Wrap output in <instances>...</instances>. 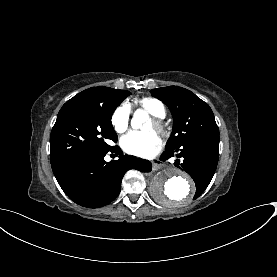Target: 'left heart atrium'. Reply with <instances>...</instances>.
Instances as JSON below:
<instances>
[{
	"label": "left heart atrium",
	"mask_w": 277,
	"mask_h": 277,
	"mask_svg": "<svg viewBox=\"0 0 277 277\" xmlns=\"http://www.w3.org/2000/svg\"><path fill=\"white\" fill-rule=\"evenodd\" d=\"M120 144L124 151L141 157L153 156L162 146L159 136L153 132H130L122 137Z\"/></svg>",
	"instance_id": "left-heart-atrium-1"
}]
</instances>
